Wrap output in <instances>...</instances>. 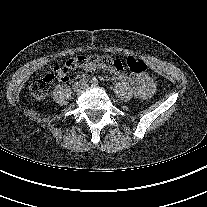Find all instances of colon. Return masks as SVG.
Masks as SVG:
<instances>
[{
    "label": "colon",
    "instance_id": "1",
    "mask_svg": "<svg viewBox=\"0 0 207 207\" xmlns=\"http://www.w3.org/2000/svg\"><path fill=\"white\" fill-rule=\"evenodd\" d=\"M112 60L105 55L90 54L69 58L64 65L57 66L62 73H69L70 70L79 69L86 64L95 63L100 66L110 65ZM126 66L133 74H141L147 70L146 64L135 57L129 56L126 59ZM56 77V73H46L34 78L30 84V92L36 100H43Z\"/></svg>",
    "mask_w": 207,
    "mask_h": 207
}]
</instances>
